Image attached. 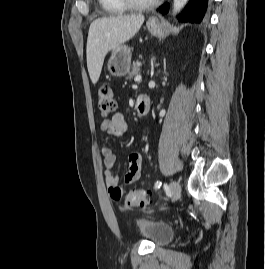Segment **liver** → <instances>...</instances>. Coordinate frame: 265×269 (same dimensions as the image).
Instances as JSON below:
<instances>
[{"instance_id": "obj_1", "label": "liver", "mask_w": 265, "mask_h": 269, "mask_svg": "<svg viewBox=\"0 0 265 269\" xmlns=\"http://www.w3.org/2000/svg\"><path fill=\"white\" fill-rule=\"evenodd\" d=\"M144 20L142 14L117 15L98 18L91 23L86 57L89 76L93 84L99 80L107 53L133 38Z\"/></svg>"}]
</instances>
